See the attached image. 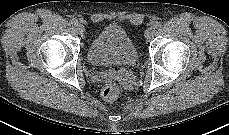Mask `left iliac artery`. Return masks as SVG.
Wrapping results in <instances>:
<instances>
[{
	"label": "left iliac artery",
	"instance_id": "left-iliac-artery-1",
	"mask_svg": "<svg viewBox=\"0 0 229 135\" xmlns=\"http://www.w3.org/2000/svg\"><path fill=\"white\" fill-rule=\"evenodd\" d=\"M162 26L161 22H156L155 23V28H160Z\"/></svg>",
	"mask_w": 229,
	"mask_h": 135
}]
</instances>
